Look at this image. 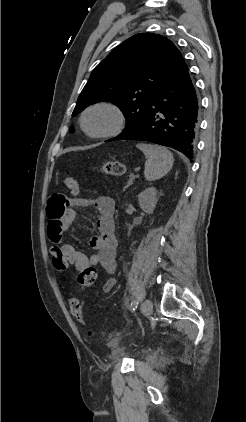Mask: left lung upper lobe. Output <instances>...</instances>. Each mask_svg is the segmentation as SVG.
<instances>
[{
	"label": "left lung upper lobe",
	"mask_w": 246,
	"mask_h": 422,
	"mask_svg": "<svg viewBox=\"0 0 246 422\" xmlns=\"http://www.w3.org/2000/svg\"><path fill=\"white\" fill-rule=\"evenodd\" d=\"M181 59L173 42L161 35L140 33L130 37L95 67L72 115L90 104L112 102L127 121L120 135L128 132L143 119L150 100ZM70 132H74L73 127Z\"/></svg>",
	"instance_id": "1"
}]
</instances>
